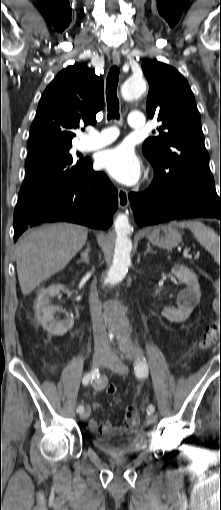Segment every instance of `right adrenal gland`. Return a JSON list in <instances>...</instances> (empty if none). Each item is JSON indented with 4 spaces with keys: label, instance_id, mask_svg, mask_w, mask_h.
Here are the masks:
<instances>
[{
    "label": "right adrenal gland",
    "instance_id": "obj_1",
    "mask_svg": "<svg viewBox=\"0 0 221 510\" xmlns=\"http://www.w3.org/2000/svg\"><path fill=\"white\" fill-rule=\"evenodd\" d=\"M89 253H90V246L87 244V247L86 249L84 250V252L81 253V258L79 260H77V263H89Z\"/></svg>",
    "mask_w": 221,
    "mask_h": 510
}]
</instances>
